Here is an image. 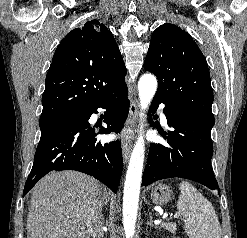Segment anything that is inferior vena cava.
Listing matches in <instances>:
<instances>
[{"mask_svg":"<svg viewBox=\"0 0 247 238\" xmlns=\"http://www.w3.org/2000/svg\"><path fill=\"white\" fill-rule=\"evenodd\" d=\"M86 226L93 238H103L104 222L101 200L96 199L89 205L86 215Z\"/></svg>","mask_w":247,"mask_h":238,"instance_id":"obj_1","label":"inferior vena cava"}]
</instances>
